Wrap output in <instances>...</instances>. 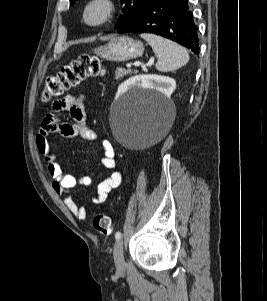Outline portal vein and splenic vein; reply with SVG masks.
Segmentation results:
<instances>
[{
  "instance_id": "portal-vein-and-splenic-vein-1",
  "label": "portal vein and splenic vein",
  "mask_w": 267,
  "mask_h": 301,
  "mask_svg": "<svg viewBox=\"0 0 267 301\" xmlns=\"http://www.w3.org/2000/svg\"><path fill=\"white\" fill-rule=\"evenodd\" d=\"M154 62V59H150V61L148 62V65H151ZM132 64H127V67H131ZM137 66L141 65L142 67H145L146 65L142 64V63H138L136 64Z\"/></svg>"
}]
</instances>
